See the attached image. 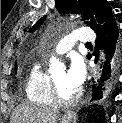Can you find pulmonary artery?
Here are the masks:
<instances>
[{
    "instance_id": "obj_1",
    "label": "pulmonary artery",
    "mask_w": 122,
    "mask_h": 123,
    "mask_svg": "<svg viewBox=\"0 0 122 123\" xmlns=\"http://www.w3.org/2000/svg\"><path fill=\"white\" fill-rule=\"evenodd\" d=\"M94 40V32L90 28L82 27L62 38L55 46L54 53L64 54L69 51L77 42L91 43Z\"/></svg>"
}]
</instances>
